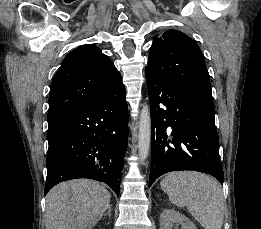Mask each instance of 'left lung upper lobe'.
<instances>
[{"instance_id": "1", "label": "left lung upper lobe", "mask_w": 261, "mask_h": 229, "mask_svg": "<svg viewBox=\"0 0 261 229\" xmlns=\"http://www.w3.org/2000/svg\"><path fill=\"white\" fill-rule=\"evenodd\" d=\"M146 71L164 79L211 89L204 56L184 33L168 30L154 39Z\"/></svg>"}]
</instances>
